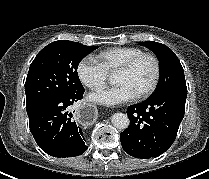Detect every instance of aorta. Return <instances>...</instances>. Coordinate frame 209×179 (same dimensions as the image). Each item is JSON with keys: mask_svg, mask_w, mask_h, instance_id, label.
<instances>
[{"mask_svg": "<svg viewBox=\"0 0 209 179\" xmlns=\"http://www.w3.org/2000/svg\"><path fill=\"white\" fill-rule=\"evenodd\" d=\"M112 124L118 129H126L129 126V118L126 114L115 113L111 117Z\"/></svg>", "mask_w": 209, "mask_h": 179, "instance_id": "762f6f07", "label": "aorta"}]
</instances>
